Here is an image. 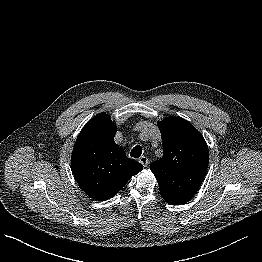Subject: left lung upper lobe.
<instances>
[{"mask_svg": "<svg viewBox=\"0 0 262 262\" xmlns=\"http://www.w3.org/2000/svg\"><path fill=\"white\" fill-rule=\"evenodd\" d=\"M163 157L150 169L160 194L173 205L188 202L198 191L208 168L209 151L197 129L180 117H168L158 123Z\"/></svg>", "mask_w": 262, "mask_h": 262, "instance_id": "left-lung-upper-lobe-1", "label": "left lung upper lobe"}]
</instances>
